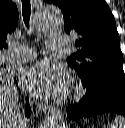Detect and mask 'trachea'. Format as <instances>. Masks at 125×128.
Returning <instances> with one entry per match:
<instances>
[{
    "mask_svg": "<svg viewBox=\"0 0 125 128\" xmlns=\"http://www.w3.org/2000/svg\"><path fill=\"white\" fill-rule=\"evenodd\" d=\"M30 14H31L30 0H22V15H23L24 23L27 28H29Z\"/></svg>",
    "mask_w": 125,
    "mask_h": 128,
    "instance_id": "3493384b",
    "label": "trachea"
}]
</instances>
